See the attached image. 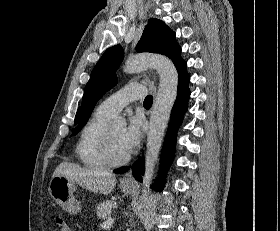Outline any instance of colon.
Instances as JSON below:
<instances>
[{"mask_svg": "<svg viewBox=\"0 0 280 231\" xmlns=\"http://www.w3.org/2000/svg\"><path fill=\"white\" fill-rule=\"evenodd\" d=\"M58 224H59V225H62V224H63V221H62V220H59V221H58ZM61 231H70V229H69V228H62Z\"/></svg>", "mask_w": 280, "mask_h": 231, "instance_id": "1", "label": "colon"}]
</instances>
